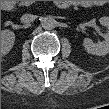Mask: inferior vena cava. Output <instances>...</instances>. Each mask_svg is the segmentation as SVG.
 I'll return each mask as SVG.
<instances>
[{"label": "inferior vena cava", "instance_id": "1", "mask_svg": "<svg viewBox=\"0 0 109 109\" xmlns=\"http://www.w3.org/2000/svg\"><path fill=\"white\" fill-rule=\"evenodd\" d=\"M35 19H36V16L32 15V14H25L21 17V21L23 23H30V22L34 21Z\"/></svg>", "mask_w": 109, "mask_h": 109}]
</instances>
